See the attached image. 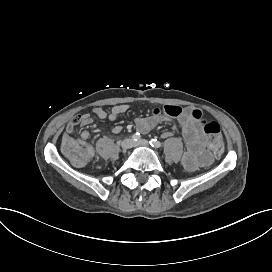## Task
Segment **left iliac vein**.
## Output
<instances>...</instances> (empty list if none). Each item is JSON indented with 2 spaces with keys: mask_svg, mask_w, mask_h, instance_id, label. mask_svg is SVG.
Returning a JSON list of instances; mask_svg holds the SVG:
<instances>
[{
  "mask_svg": "<svg viewBox=\"0 0 272 272\" xmlns=\"http://www.w3.org/2000/svg\"><path fill=\"white\" fill-rule=\"evenodd\" d=\"M150 145L149 141L142 139L138 142H134L133 146L137 147V146H144V147H148Z\"/></svg>",
  "mask_w": 272,
  "mask_h": 272,
  "instance_id": "1",
  "label": "left iliac vein"
}]
</instances>
